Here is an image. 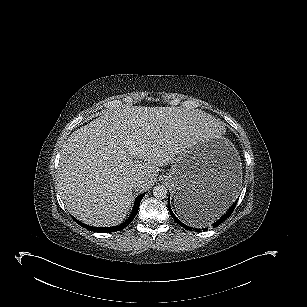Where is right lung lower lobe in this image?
Wrapping results in <instances>:
<instances>
[{
	"instance_id": "98d812e1",
	"label": "right lung lower lobe",
	"mask_w": 307,
	"mask_h": 307,
	"mask_svg": "<svg viewBox=\"0 0 307 307\" xmlns=\"http://www.w3.org/2000/svg\"><path fill=\"white\" fill-rule=\"evenodd\" d=\"M145 193L144 194H141L140 196H138L135 200V203H134V208H133V211L131 213V216L128 218V220L124 223H122L121 225H118V226H115V227H93V226H89V225H86L80 221H78L77 219H75L73 217V219L82 227L88 229V230H91V231H94V232H99V233H110V232H116V231H119V230H122L123 228L127 227L131 222L132 220L134 219V217L136 216L137 214V211L139 209V205H140V201L142 200V198L144 197Z\"/></svg>"
}]
</instances>
